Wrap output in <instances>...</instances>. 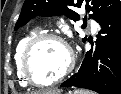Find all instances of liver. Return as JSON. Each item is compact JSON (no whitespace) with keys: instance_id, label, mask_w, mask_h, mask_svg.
<instances>
[{"instance_id":"6515ba94","label":"liver","mask_w":121,"mask_h":94,"mask_svg":"<svg viewBox=\"0 0 121 94\" xmlns=\"http://www.w3.org/2000/svg\"><path fill=\"white\" fill-rule=\"evenodd\" d=\"M59 91H55V90H46V91H42V92H35L34 94H58Z\"/></svg>"}]
</instances>
